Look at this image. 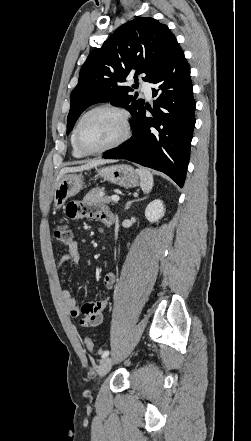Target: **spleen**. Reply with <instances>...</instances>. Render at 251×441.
<instances>
[{"instance_id":"obj_1","label":"spleen","mask_w":251,"mask_h":441,"mask_svg":"<svg viewBox=\"0 0 251 441\" xmlns=\"http://www.w3.org/2000/svg\"><path fill=\"white\" fill-rule=\"evenodd\" d=\"M137 173L140 177V186L145 194L151 192L154 184L153 175L150 170L145 168L137 169Z\"/></svg>"}]
</instances>
